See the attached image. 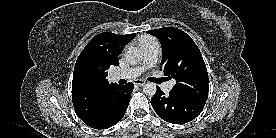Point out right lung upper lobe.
I'll return each mask as SVG.
<instances>
[{
    "label": "right lung upper lobe",
    "mask_w": 276,
    "mask_h": 138,
    "mask_svg": "<svg viewBox=\"0 0 276 138\" xmlns=\"http://www.w3.org/2000/svg\"><path fill=\"white\" fill-rule=\"evenodd\" d=\"M135 36V33H99L80 53L73 73L72 102L76 113L86 125L93 126L108 116L112 93L119 86L108 83V69L119 65L118 55Z\"/></svg>",
    "instance_id": "cb5924a9"
}]
</instances>
